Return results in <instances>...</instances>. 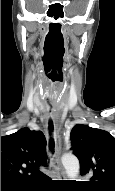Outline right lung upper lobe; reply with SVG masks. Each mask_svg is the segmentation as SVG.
<instances>
[{"label":"right lung upper lobe","mask_w":115,"mask_h":191,"mask_svg":"<svg viewBox=\"0 0 115 191\" xmlns=\"http://www.w3.org/2000/svg\"><path fill=\"white\" fill-rule=\"evenodd\" d=\"M45 146L44 134L29 128L1 137V187L25 188L49 178L39 170L46 166Z\"/></svg>","instance_id":"cb5924a9"}]
</instances>
